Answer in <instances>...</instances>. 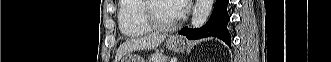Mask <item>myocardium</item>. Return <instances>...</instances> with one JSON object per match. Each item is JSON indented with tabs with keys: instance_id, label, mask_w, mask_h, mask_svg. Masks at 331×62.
I'll return each mask as SVG.
<instances>
[{
	"instance_id": "f54148a6",
	"label": "myocardium",
	"mask_w": 331,
	"mask_h": 62,
	"mask_svg": "<svg viewBox=\"0 0 331 62\" xmlns=\"http://www.w3.org/2000/svg\"><path fill=\"white\" fill-rule=\"evenodd\" d=\"M155 0H143L141 6V20L152 31H168L178 25L179 19L169 23H162L152 13V7Z\"/></svg>"
}]
</instances>
